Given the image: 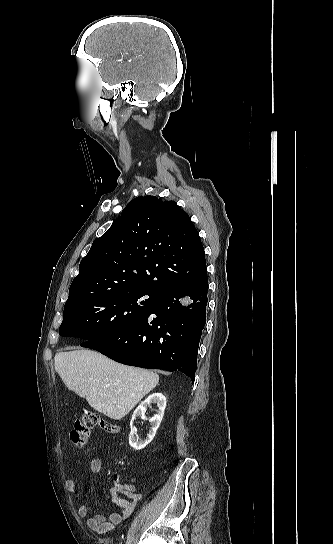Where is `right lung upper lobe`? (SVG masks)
<instances>
[{
  "mask_svg": "<svg viewBox=\"0 0 333 544\" xmlns=\"http://www.w3.org/2000/svg\"><path fill=\"white\" fill-rule=\"evenodd\" d=\"M206 271L204 248L188 214L174 201L137 197L93 242L66 303L107 291L157 295Z\"/></svg>",
  "mask_w": 333,
  "mask_h": 544,
  "instance_id": "1",
  "label": "right lung upper lobe"
}]
</instances>
